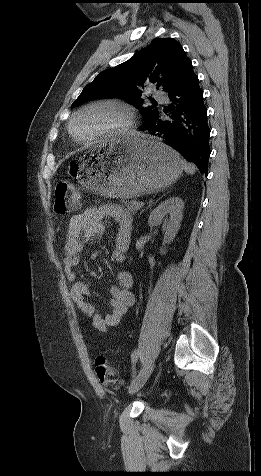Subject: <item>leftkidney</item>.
I'll return each mask as SVG.
<instances>
[{
  "label": "left kidney",
  "instance_id": "1",
  "mask_svg": "<svg viewBox=\"0 0 261 476\" xmlns=\"http://www.w3.org/2000/svg\"><path fill=\"white\" fill-rule=\"evenodd\" d=\"M183 209L184 202L180 197H170L161 202L150 213L149 225L158 226L162 224V228L165 231L163 245L170 244L178 233L183 217ZM160 253L165 254L166 250L160 248Z\"/></svg>",
  "mask_w": 261,
  "mask_h": 476
}]
</instances>
